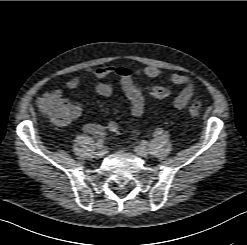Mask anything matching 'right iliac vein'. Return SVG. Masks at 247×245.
Wrapping results in <instances>:
<instances>
[{"instance_id": "right-iliac-vein-1", "label": "right iliac vein", "mask_w": 247, "mask_h": 245, "mask_svg": "<svg viewBox=\"0 0 247 245\" xmlns=\"http://www.w3.org/2000/svg\"><path fill=\"white\" fill-rule=\"evenodd\" d=\"M104 151L102 150V149H100V150H97L96 152H95V156H96V158H102L103 156H104Z\"/></svg>"}]
</instances>
